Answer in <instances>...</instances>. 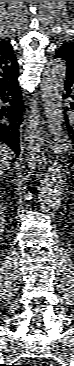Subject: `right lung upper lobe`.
Returning a JSON list of instances; mask_svg holds the SVG:
<instances>
[{"label": "right lung upper lobe", "instance_id": "right-lung-upper-lobe-1", "mask_svg": "<svg viewBox=\"0 0 74 366\" xmlns=\"http://www.w3.org/2000/svg\"><path fill=\"white\" fill-rule=\"evenodd\" d=\"M18 64L9 42L0 40V87L17 81Z\"/></svg>", "mask_w": 74, "mask_h": 366}]
</instances>
